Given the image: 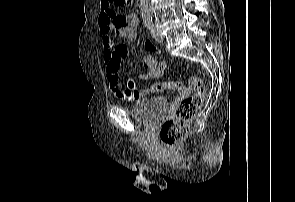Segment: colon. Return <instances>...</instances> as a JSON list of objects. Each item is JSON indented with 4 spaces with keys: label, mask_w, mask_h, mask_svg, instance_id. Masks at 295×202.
Returning <instances> with one entry per match:
<instances>
[{
    "label": "colon",
    "mask_w": 295,
    "mask_h": 202,
    "mask_svg": "<svg viewBox=\"0 0 295 202\" xmlns=\"http://www.w3.org/2000/svg\"><path fill=\"white\" fill-rule=\"evenodd\" d=\"M117 6H130L132 0H110ZM144 68H149L150 74L162 75L167 71L168 65L165 62H156L157 56H152V52H147V56L142 57ZM138 83L137 79H130L128 86L134 87ZM189 83L193 89L190 98H184L179 107L176 108L172 118L166 120L160 129V138L163 143L173 146L182 141L189 131V124L196 112L203 103L205 96V86L198 76H191ZM183 84L178 81H163L154 85H147V90L163 92L166 90L181 91Z\"/></svg>",
    "instance_id": "obj_1"
}]
</instances>
